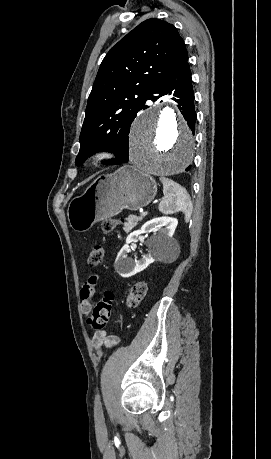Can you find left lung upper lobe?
I'll list each match as a JSON object with an SVG mask.
<instances>
[{
  "label": "left lung upper lobe",
  "mask_w": 271,
  "mask_h": 459,
  "mask_svg": "<svg viewBox=\"0 0 271 459\" xmlns=\"http://www.w3.org/2000/svg\"><path fill=\"white\" fill-rule=\"evenodd\" d=\"M188 52L176 28L151 18L140 23L103 59L89 95L75 163L100 150L129 154L128 134L150 94L185 62Z\"/></svg>",
  "instance_id": "obj_1"
}]
</instances>
